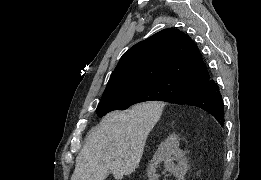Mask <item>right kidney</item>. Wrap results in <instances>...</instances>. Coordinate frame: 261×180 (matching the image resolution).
<instances>
[{
  "label": "right kidney",
  "instance_id": "obj_1",
  "mask_svg": "<svg viewBox=\"0 0 261 180\" xmlns=\"http://www.w3.org/2000/svg\"><path fill=\"white\" fill-rule=\"evenodd\" d=\"M173 156V158H172ZM173 160H177L178 166H174ZM160 162H165L166 168L177 176L178 180H184V176L189 168L186 156L182 150H179V140L175 134L168 136L164 142H161L148 170L150 180H157L156 168Z\"/></svg>",
  "mask_w": 261,
  "mask_h": 180
}]
</instances>
